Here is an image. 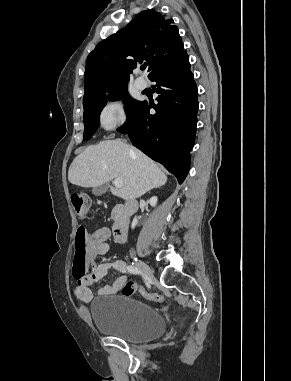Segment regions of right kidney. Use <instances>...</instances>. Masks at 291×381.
I'll list each match as a JSON object with an SVG mask.
<instances>
[{"mask_svg": "<svg viewBox=\"0 0 291 381\" xmlns=\"http://www.w3.org/2000/svg\"><path fill=\"white\" fill-rule=\"evenodd\" d=\"M149 203H150V205H151L152 207H155L156 204H157V197L154 196V197L150 198ZM137 223H138V218H137V217H134V219H133V221H132V228H135V226L137 225Z\"/></svg>", "mask_w": 291, "mask_h": 381, "instance_id": "ca27d5eb", "label": "right kidney"}]
</instances>
